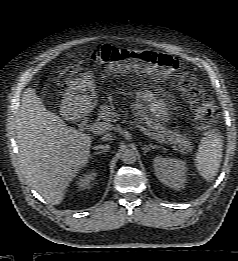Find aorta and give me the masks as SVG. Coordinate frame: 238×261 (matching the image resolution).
Returning <instances> with one entry per match:
<instances>
[{
    "label": "aorta",
    "mask_w": 238,
    "mask_h": 261,
    "mask_svg": "<svg viewBox=\"0 0 238 261\" xmlns=\"http://www.w3.org/2000/svg\"><path fill=\"white\" fill-rule=\"evenodd\" d=\"M121 159L125 164H133L137 159V154L133 149L126 148L121 152Z\"/></svg>",
    "instance_id": "aorta-1"
}]
</instances>
